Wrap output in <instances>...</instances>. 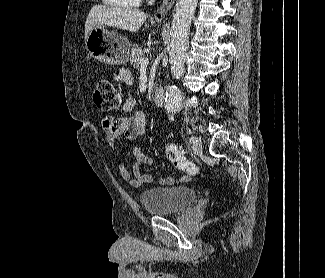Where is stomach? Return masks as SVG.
<instances>
[{"mask_svg": "<svg viewBox=\"0 0 325 278\" xmlns=\"http://www.w3.org/2000/svg\"><path fill=\"white\" fill-rule=\"evenodd\" d=\"M91 57L108 64H125L128 61L130 43L125 38L106 29L104 25L91 29L86 41Z\"/></svg>", "mask_w": 325, "mask_h": 278, "instance_id": "0dacf381", "label": "stomach"}]
</instances>
